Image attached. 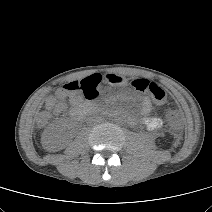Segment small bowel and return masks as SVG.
<instances>
[{
  "label": "small bowel",
  "mask_w": 212,
  "mask_h": 212,
  "mask_svg": "<svg viewBox=\"0 0 212 212\" xmlns=\"http://www.w3.org/2000/svg\"><path fill=\"white\" fill-rule=\"evenodd\" d=\"M65 94L59 92L56 96H51L47 98L45 102V107L47 110L52 111L55 115H59L67 110L68 104L64 101ZM81 102V98L77 95H71L69 97V103L71 105H76ZM151 111V104L148 100L143 102L142 112L144 115L149 114ZM143 123L150 130L158 129L162 126L163 121L160 117H149L143 118Z\"/></svg>",
  "instance_id": "1"
}]
</instances>
